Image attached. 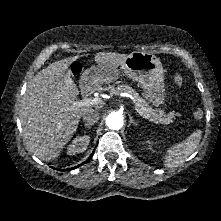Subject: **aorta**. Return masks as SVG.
Returning <instances> with one entry per match:
<instances>
[{"mask_svg":"<svg viewBox=\"0 0 221 221\" xmlns=\"http://www.w3.org/2000/svg\"><path fill=\"white\" fill-rule=\"evenodd\" d=\"M106 124L112 130H119L123 126V117L118 112H111L106 118Z\"/></svg>","mask_w":221,"mask_h":221,"instance_id":"obj_1","label":"aorta"}]
</instances>
